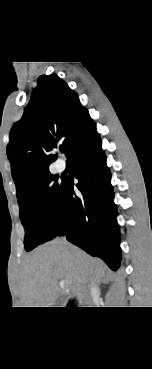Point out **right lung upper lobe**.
Listing matches in <instances>:
<instances>
[{"label":"right lung upper lobe","mask_w":152,"mask_h":369,"mask_svg":"<svg viewBox=\"0 0 152 369\" xmlns=\"http://www.w3.org/2000/svg\"><path fill=\"white\" fill-rule=\"evenodd\" d=\"M96 129L78 95L56 74L41 76L22 118L9 134L7 155L17 199L49 172L58 144L69 157L73 148ZM62 146V145H61Z\"/></svg>","instance_id":"1"}]
</instances>
